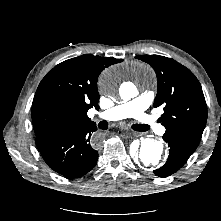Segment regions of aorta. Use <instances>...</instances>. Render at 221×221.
I'll return each instance as SVG.
<instances>
[{"instance_id": "aorta-1", "label": "aorta", "mask_w": 221, "mask_h": 221, "mask_svg": "<svg viewBox=\"0 0 221 221\" xmlns=\"http://www.w3.org/2000/svg\"><path fill=\"white\" fill-rule=\"evenodd\" d=\"M120 74V70L115 69L105 72L100 79V86L105 94L112 95L115 92L116 79ZM137 95L134 86L129 89L121 90L120 97L123 100H129ZM134 159L143 167L154 168L159 166L164 157V145L161 141L154 139H143L139 145V149L133 151Z\"/></svg>"}]
</instances>
